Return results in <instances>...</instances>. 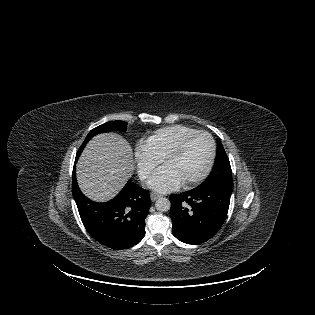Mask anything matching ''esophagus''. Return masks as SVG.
I'll return each instance as SVG.
<instances>
[{"label": "esophagus", "mask_w": 315, "mask_h": 315, "mask_svg": "<svg viewBox=\"0 0 315 315\" xmlns=\"http://www.w3.org/2000/svg\"><path fill=\"white\" fill-rule=\"evenodd\" d=\"M161 195L157 194V193H150V198H151V201H155L157 200Z\"/></svg>", "instance_id": "34e87169"}]
</instances>
